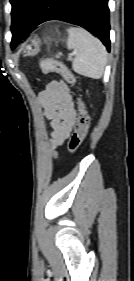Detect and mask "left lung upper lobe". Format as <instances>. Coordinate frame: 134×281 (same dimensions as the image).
Here are the masks:
<instances>
[{
  "label": "left lung upper lobe",
  "mask_w": 134,
  "mask_h": 281,
  "mask_svg": "<svg viewBox=\"0 0 134 281\" xmlns=\"http://www.w3.org/2000/svg\"><path fill=\"white\" fill-rule=\"evenodd\" d=\"M44 0H10L12 5L11 31H25ZM15 46L12 47L14 49Z\"/></svg>",
  "instance_id": "1"
}]
</instances>
